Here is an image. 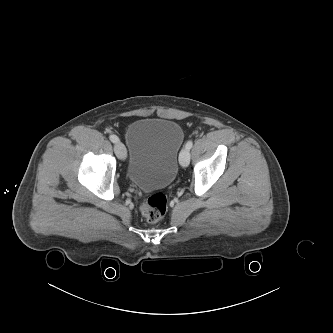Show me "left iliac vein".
<instances>
[{"instance_id": "obj_1", "label": "left iliac vein", "mask_w": 333, "mask_h": 333, "mask_svg": "<svg viewBox=\"0 0 333 333\" xmlns=\"http://www.w3.org/2000/svg\"><path fill=\"white\" fill-rule=\"evenodd\" d=\"M190 162V151L189 149L183 148L179 154V163L183 167H187Z\"/></svg>"}]
</instances>
